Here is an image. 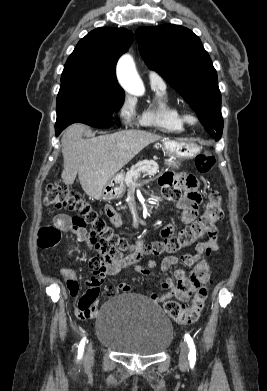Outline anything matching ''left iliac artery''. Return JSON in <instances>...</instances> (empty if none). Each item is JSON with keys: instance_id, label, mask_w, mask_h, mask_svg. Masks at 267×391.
I'll return each mask as SVG.
<instances>
[{"instance_id": "left-iliac-artery-1", "label": "left iliac artery", "mask_w": 267, "mask_h": 391, "mask_svg": "<svg viewBox=\"0 0 267 391\" xmlns=\"http://www.w3.org/2000/svg\"><path fill=\"white\" fill-rule=\"evenodd\" d=\"M185 339L190 348V353H189L190 366L193 367L196 361V350H195L194 342L189 334H185Z\"/></svg>"}]
</instances>
